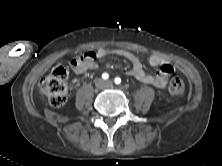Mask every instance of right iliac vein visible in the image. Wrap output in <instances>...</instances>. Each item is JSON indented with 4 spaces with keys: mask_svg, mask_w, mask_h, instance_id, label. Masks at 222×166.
I'll return each mask as SVG.
<instances>
[{
    "mask_svg": "<svg viewBox=\"0 0 222 166\" xmlns=\"http://www.w3.org/2000/svg\"><path fill=\"white\" fill-rule=\"evenodd\" d=\"M96 84H97L98 87H102L103 86V81L101 79H99Z\"/></svg>",
    "mask_w": 222,
    "mask_h": 166,
    "instance_id": "63e3f726",
    "label": "right iliac vein"
}]
</instances>
